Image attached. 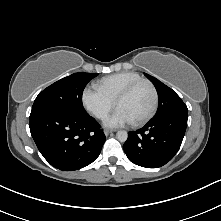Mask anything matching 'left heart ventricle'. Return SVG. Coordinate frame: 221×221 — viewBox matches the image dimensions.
Here are the masks:
<instances>
[{
    "instance_id": "1",
    "label": "left heart ventricle",
    "mask_w": 221,
    "mask_h": 221,
    "mask_svg": "<svg viewBox=\"0 0 221 221\" xmlns=\"http://www.w3.org/2000/svg\"><path fill=\"white\" fill-rule=\"evenodd\" d=\"M152 104V89L148 84H142L121 101L118 108L122 109L133 122L143 118L150 111Z\"/></svg>"
}]
</instances>
